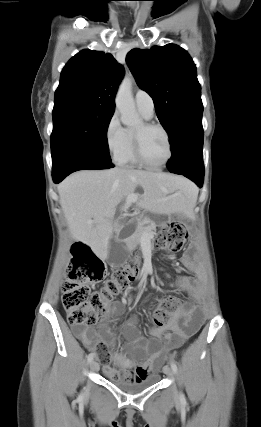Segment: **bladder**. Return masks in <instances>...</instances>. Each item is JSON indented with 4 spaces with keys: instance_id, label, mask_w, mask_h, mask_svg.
<instances>
[{
    "instance_id": "obj_1",
    "label": "bladder",
    "mask_w": 261,
    "mask_h": 427,
    "mask_svg": "<svg viewBox=\"0 0 261 427\" xmlns=\"http://www.w3.org/2000/svg\"><path fill=\"white\" fill-rule=\"evenodd\" d=\"M126 371L125 368H121ZM111 383L126 393H137L155 385L159 380V374L153 373L142 379H133L124 375L110 377Z\"/></svg>"
}]
</instances>
